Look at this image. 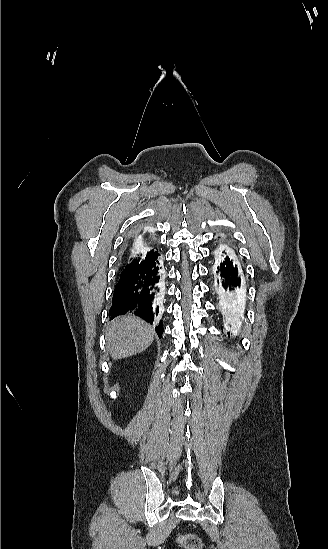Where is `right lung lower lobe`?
Masks as SVG:
<instances>
[{
	"label": "right lung lower lobe",
	"instance_id": "98d812e1",
	"mask_svg": "<svg viewBox=\"0 0 328 549\" xmlns=\"http://www.w3.org/2000/svg\"><path fill=\"white\" fill-rule=\"evenodd\" d=\"M132 240L133 234L126 242L122 257L127 253V244ZM163 280L159 254L143 261L137 269L128 274L121 275L114 289L113 302L109 311L110 318L127 313L137 315L154 324L155 331L161 338L164 329L159 317L157 299L162 290Z\"/></svg>",
	"mask_w": 328,
	"mask_h": 549
}]
</instances>
